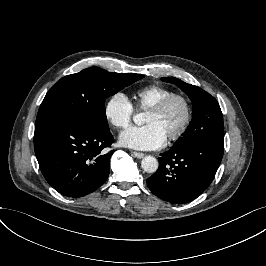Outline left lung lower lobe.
I'll use <instances>...</instances> for the list:
<instances>
[{
  "label": "left lung lower lobe",
  "instance_id": "1",
  "mask_svg": "<svg viewBox=\"0 0 266 266\" xmlns=\"http://www.w3.org/2000/svg\"><path fill=\"white\" fill-rule=\"evenodd\" d=\"M224 143L201 139L161 154L158 170L147 179L151 192L170 203L184 204L211 184L221 163Z\"/></svg>",
  "mask_w": 266,
  "mask_h": 266
}]
</instances>
